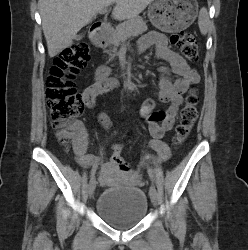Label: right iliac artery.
I'll return each instance as SVG.
<instances>
[{
  "label": "right iliac artery",
  "instance_id": "right-iliac-artery-1",
  "mask_svg": "<svg viewBox=\"0 0 248 250\" xmlns=\"http://www.w3.org/2000/svg\"><path fill=\"white\" fill-rule=\"evenodd\" d=\"M95 173H96V170L92 169L90 172V177L93 178L95 176Z\"/></svg>",
  "mask_w": 248,
  "mask_h": 250
}]
</instances>
